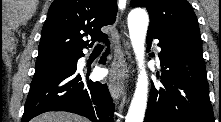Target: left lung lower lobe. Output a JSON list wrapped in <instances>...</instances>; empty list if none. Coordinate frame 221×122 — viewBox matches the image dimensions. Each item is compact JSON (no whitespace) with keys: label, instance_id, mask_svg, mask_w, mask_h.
I'll use <instances>...</instances> for the list:
<instances>
[{"label":"left lung lower lobe","instance_id":"left-lung-lower-lobe-1","mask_svg":"<svg viewBox=\"0 0 221 122\" xmlns=\"http://www.w3.org/2000/svg\"><path fill=\"white\" fill-rule=\"evenodd\" d=\"M158 39L162 87H151L144 122H214L202 47L148 29V50Z\"/></svg>","mask_w":221,"mask_h":122}]
</instances>
